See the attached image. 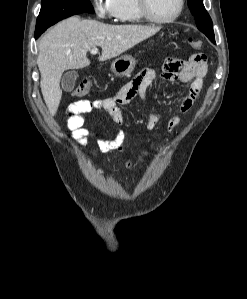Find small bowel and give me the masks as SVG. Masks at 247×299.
Returning a JSON list of instances; mask_svg holds the SVG:
<instances>
[{"label":"small bowel","instance_id":"small-bowel-1","mask_svg":"<svg viewBox=\"0 0 247 299\" xmlns=\"http://www.w3.org/2000/svg\"><path fill=\"white\" fill-rule=\"evenodd\" d=\"M206 56L195 54L188 61L180 59H168L162 69L160 78L173 82L179 80L182 83H190L188 93L180 100V109L187 112L197 99L206 74ZM156 79L153 69H143L128 84H126L114 98L82 100L72 103L67 108V127L71 131L72 138L80 145L87 144L90 131L85 127L86 116L94 110L106 111L115 125V132L111 139L96 138V143L102 152L124 153V136L121 130L124 118L119 105L130 103L135 97H139L146 105V127L149 130L156 129L160 119L150 110L147 100V89ZM178 125V117L173 115L168 120V130L172 132ZM126 167L134 169V163L126 160Z\"/></svg>","mask_w":247,"mask_h":299}]
</instances>
